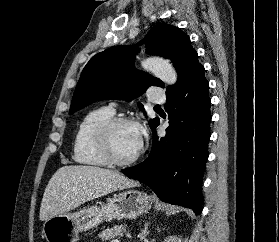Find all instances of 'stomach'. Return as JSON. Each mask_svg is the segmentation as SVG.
Returning <instances> with one entry per match:
<instances>
[{"label":"stomach","mask_w":279,"mask_h":242,"mask_svg":"<svg viewBox=\"0 0 279 242\" xmlns=\"http://www.w3.org/2000/svg\"><path fill=\"white\" fill-rule=\"evenodd\" d=\"M151 204L152 198L146 193L128 189L101 206L50 217L44 222L42 233L47 242H77L80 232L93 229L104 220L134 219L146 213Z\"/></svg>","instance_id":"obj_1"}]
</instances>
